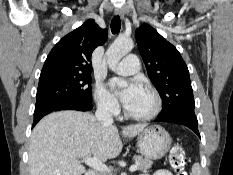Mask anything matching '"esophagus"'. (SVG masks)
I'll use <instances>...</instances> for the list:
<instances>
[{
  "mask_svg": "<svg viewBox=\"0 0 233 175\" xmlns=\"http://www.w3.org/2000/svg\"><path fill=\"white\" fill-rule=\"evenodd\" d=\"M115 15L120 16L121 18L124 17V12L121 8H116L115 9Z\"/></svg>",
  "mask_w": 233,
  "mask_h": 175,
  "instance_id": "esophagus-1",
  "label": "esophagus"
}]
</instances>
